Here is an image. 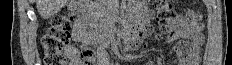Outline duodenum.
Masks as SVG:
<instances>
[{
	"label": "duodenum",
	"instance_id": "1",
	"mask_svg": "<svg viewBox=\"0 0 232 65\" xmlns=\"http://www.w3.org/2000/svg\"><path fill=\"white\" fill-rule=\"evenodd\" d=\"M74 8L80 12L84 19L88 18L90 15V8L86 1H76L74 3ZM84 22V21H83ZM140 26V22L137 19H132L127 23V25L123 26L120 30L119 37L123 42H130L135 38V33H138ZM92 40L99 46V48H103L110 44L113 40V34L111 32L106 31H96L92 35Z\"/></svg>",
	"mask_w": 232,
	"mask_h": 65
}]
</instances>
